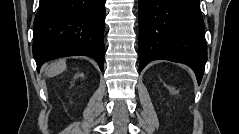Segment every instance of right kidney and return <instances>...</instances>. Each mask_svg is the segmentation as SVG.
Instances as JSON below:
<instances>
[{"mask_svg":"<svg viewBox=\"0 0 239 134\" xmlns=\"http://www.w3.org/2000/svg\"><path fill=\"white\" fill-rule=\"evenodd\" d=\"M83 74H77L75 77H83Z\"/></svg>","mask_w":239,"mask_h":134,"instance_id":"1","label":"right kidney"}]
</instances>
